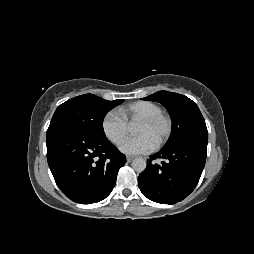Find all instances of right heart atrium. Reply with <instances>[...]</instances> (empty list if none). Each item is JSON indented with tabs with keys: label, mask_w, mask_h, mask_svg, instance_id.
Listing matches in <instances>:
<instances>
[{
	"label": "right heart atrium",
	"mask_w": 254,
	"mask_h": 254,
	"mask_svg": "<svg viewBox=\"0 0 254 254\" xmlns=\"http://www.w3.org/2000/svg\"><path fill=\"white\" fill-rule=\"evenodd\" d=\"M104 136L114 145H120L127 136L128 126L125 119L115 110L107 112L102 121Z\"/></svg>",
	"instance_id": "d8ad5b80"
}]
</instances>
